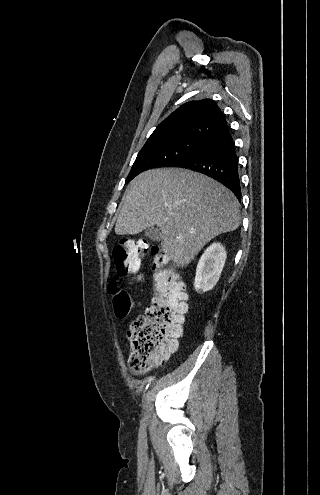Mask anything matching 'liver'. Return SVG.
<instances>
[{"label":"liver","mask_w":320,"mask_h":495,"mask_svg":"<svg viewBox=\"0 0 320 495\" xmlns=\"http://www.w3.org/2000/svg\"><path fill=\"white\" fill-rule=\"evenodd\" d=\"M153 225L161 229L164 253L183 267L215 236L239 227V202L203 174L180 168L149 170L128 186L115 233L135 235Z\"/></svg>","instance_id":"1"}]
</instances>
